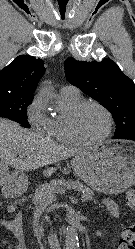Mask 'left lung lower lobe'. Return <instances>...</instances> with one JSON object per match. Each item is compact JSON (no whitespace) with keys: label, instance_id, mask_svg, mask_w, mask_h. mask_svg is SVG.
<instances>
[{"label":"left lung lower lobe","instance_id":"0a47b994","mask_svg":"<svg viewBox=\"0 0 135 249\" xmlns=\"http://www.w3.org/2000/svg\"><path fill=\"white\" fill-rule=\"evenodd\" d=\"M123 139H129V140L135 141V133L129 134V135L125 136V138H123Z\"/></svg>","mask_w":135,"mask_h":249}]
</instances>
